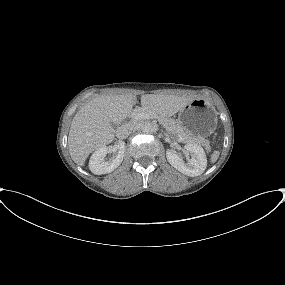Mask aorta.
<instances>
[{
	"instance_id": "762f6f07",
	"label": "aorta",
	"mask_w": 285,
	"mask_h": 285,
	"mask_svg": "<svg viewBox=\"0 0 285 285\" xmlns=\"http://www.w3.org/2000/svg\"><path fill=\"white\" fill-rule=\"evenodd\" d=\"M141 130L143 133L150 134L154 131V127L151 123L147 122L141 126Z\"/></svg>"
}]
</instances>
